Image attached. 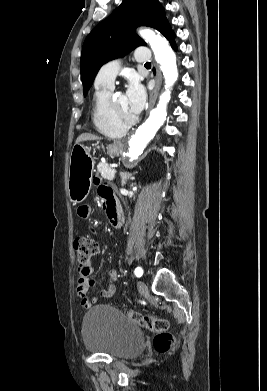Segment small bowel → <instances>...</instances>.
I'll use <instances>...</instances> for the list:
<instances>
[{
    "mask_svg": "<svg viewBox=\"0 0 267 391\" xmlns=\"http://www.w3.org/2000/svg\"><path fill=\"white\" fill-rule=\"evenodd\" d=\"M97 186V192L99 197L103 200L107 214L110 216L112 213L120 212L118 201L114 195L112 187L105 183L101 182L99 179L95 180ZM91 208L88 205H81L77 209V214L81 219L87 220L90 216ZM95 269V265L92 263L87 270H78V280H77V294L80 298L81 304L89 308L92 303H96L101 299L112 297L116 291V284L118 281V274L115 270H111L108 273L109 282L105 289L100 290L96 296L92 299L88 297V291L91 287L94 286V278L92 273Z\"/></svg>",
    "mask_w": 267,
    "mask_h": 391,
    "instance_id": "obj_1",
    "label": "small bowel"
}]
</instances>
